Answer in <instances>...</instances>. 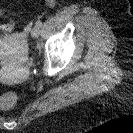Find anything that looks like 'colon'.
<instances>
[{
    "instance_id": "5ec220e1",
    "label": "colon",
    "mask_w": 133,
    "mask_h": 133,
    "mask_svg": "<svg viewBox=\"0 0 133 133\" xmlns=\"http://www.w3.org/2000/svg\"><path fill=\"white\" fill-rule=\"evenodd\" d=\"M3 13V9H0V16ZM10 28H13V24H9ZM16 102V96L12 92H8L3 97V103L5 104L6 108L12 107Z\"/></svg>"
}]
</instances>
